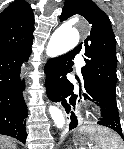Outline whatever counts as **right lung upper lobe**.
I'll return each instance as SVG.
<instances>
[{
	"label": "right lung upper lobe",
	"instance_id": "1",
	"mask_svg": "<svg viewBox=\"0 0 124 149\" xmlns=\"http://www.w3.org/2000/svg\"><path fill=\"white\" fill-rule=\"evenodd\" d=\"M34 15L25 1L12 2L0 13V52L32 45Z\"/></svg>",
	"mask_w": 124,
	"mask_h": 149
}]
</instances>
